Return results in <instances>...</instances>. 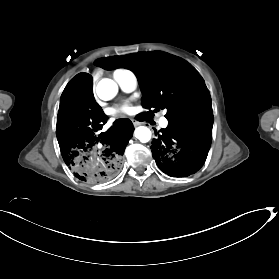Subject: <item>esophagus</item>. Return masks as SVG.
<instances>
[{
	"instance_id": "obj_1",
	"label": "esophagus",
	"mask_w": 279,
	"mask_h": 279,
	"mask_svg": "<svg viewBox=\"0 0 279 279\" xmlns=\"http://www.w3.org/2000/svg\"><path fill=\"white\" fill-rule=\"evenodd\" d=\"M132 123H133L134 126L140 125V123L138 121H136V120H132Z\"/></svg>"
}]
</instances>
